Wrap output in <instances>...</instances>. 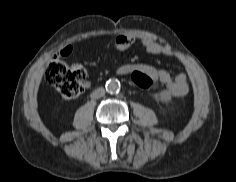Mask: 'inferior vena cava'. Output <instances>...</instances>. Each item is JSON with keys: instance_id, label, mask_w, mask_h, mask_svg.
I'll use <instances>...</instances> for the list:
<instances>
[{"instance_id": "inferior-vena-cava-1", "label": "inferior vena cava", "mask_w": 236, "mask_h": 182, "mask_svg": "<svg viewBox=\"0 0 236 182\" xmlns=\"http://www.w3.org/2000/svg\"><path fill=\"white\" fill-rule=\"evenodd\" d=\"M105 94V89L103 87L97 88L93 93L92 96L94 98H100L102 96H104Z\"/></svg>"}]
</instances>
